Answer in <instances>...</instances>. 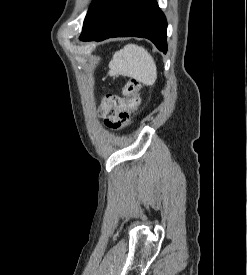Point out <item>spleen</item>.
I'll return each instance as SVG.
<instances>
[{
	"mask_svg": "<svg viewBox=\"0 0 247 275\" xmlns=\"http://www.w3.org/2000/svg\"><path fill=\"white\" fill-rule=\"evenodd\" d=\"M111 75L132 77L144 85H153L157 79V68L152 56L142 46L125 45L115 52L109 63Z\"/></svg>",
	"mask_w": 247,
	"mask_h": 275,
	"instance_id": "3e777b00",
	"label": "spleen"
}]
</instances>
